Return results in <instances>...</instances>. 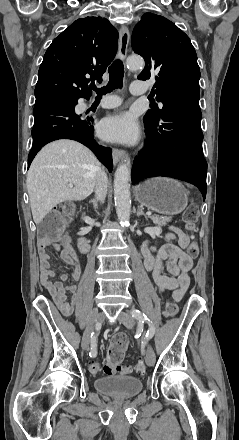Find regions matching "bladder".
<instances>
[{"mask_svg":"<svg viewBox=\"0 0 239 440\" xmlns=\"http://www.w3.org/2000/svg\"><path fill=\"white\" fill-rule=\"evenodd\" d=\"M95 389L115 398H131L143 389L140 379L132 376L101 377L94 382Z\"/></svg>","mask_w":239,"mask_h":440,"instance_id":"31cf9c89","label":"bladder"}]
</instances>
